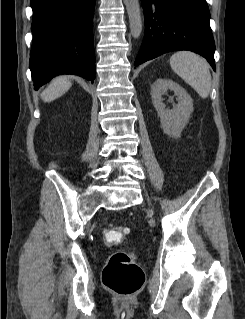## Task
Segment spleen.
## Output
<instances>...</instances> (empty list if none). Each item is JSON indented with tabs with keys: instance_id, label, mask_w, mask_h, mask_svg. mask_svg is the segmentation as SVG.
<instances>
[{
	"instance_id": "3e777b00",
	"label": "spleen",
	"mask_w": 245,
	"mask_h": 319,
	"mask_svg": "<svg viewBox=\"0 0 245 319\" xmlns=\"http://www.w3.org/2000/svg\"><path fill=\"white\" fill-rule=\"evenodd\" d=\"M170 66L200 97H208L211 89V74L209 65L203 57L190 51H179L171 56Z\"/></svg>"
}]
</instances>
